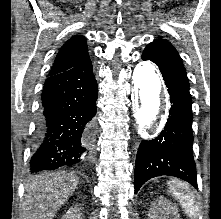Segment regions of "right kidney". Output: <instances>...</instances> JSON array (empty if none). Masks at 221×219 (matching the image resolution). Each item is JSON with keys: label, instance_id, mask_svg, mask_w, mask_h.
<instances>
[{"label": "right kidney", "instance_id": "right-kidney-1", "mask_svg": "<svg viewBox=\"0 0 221 219\" xmlns=\"http://www.w3.org/2000/svg\"><path fill=\"white\" fill-rule=\"evenodd\" d=\"M62 219H81V213L79 207L73 206L69 208V210L62 217Z\"/></svg>", "mask_w": 221, "mask_h": 219}]
</instances>
